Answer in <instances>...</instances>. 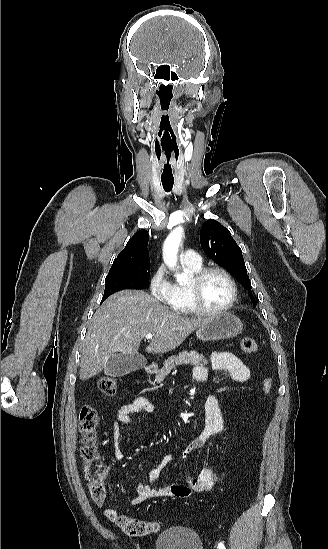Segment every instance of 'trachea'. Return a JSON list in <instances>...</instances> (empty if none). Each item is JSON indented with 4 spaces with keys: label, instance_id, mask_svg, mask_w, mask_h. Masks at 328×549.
<instances>
[{
    "label": "trachea",
    "instance_id": "3493384b",
    "mask_svg": "<svg viewBox=\"0 0 328 549\" xmlns=\"http://www.w3.org/2000/svg\"><path fill=\"white\" fill-rule=\"evenodd\" d=\"M161 182H162L163 188L166 192H170V190H172V187L174 185L173 180H161Z\"/></svg>",
    "mask_w": 328,
    "mask_h": 549
}]
</instances>
